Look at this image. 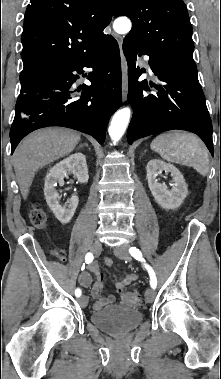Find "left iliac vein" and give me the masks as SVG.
<instances>
[{
    "mask_svg": "<svg viewBox=\"0 0 221 379\" xmlns=\"http://www.w3.org/2000/svg\"><path fill=\"white\" fill-rule=\"evenodd\" d=\"M128 249H129V245L128 244H123L117 248L114 249V254L120 258V259H123V260H126V261H131V256L128 252ZM156 296V292L153 288H149L147 289V291L145 292V300L147 303H151L153 302L154 298Z\"/></svg>",
    "mask_w": 221,
    "mask_h": 379,
    "instance_id": "obj_1",
    "label": "left iliac vein"
}]
</instances>
